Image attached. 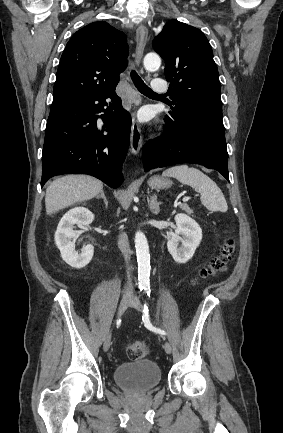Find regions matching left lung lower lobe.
Segmentation results:
<instances>
[{"mask_svg":"<svg viewBox=\"0 0 283 433\" xmlns=\"http://www.w3.org/2000/svg\"><path fill=\"white\" fill-rule=\"evenodd\" d=\"M168 131L143 147V164L153 168L181 163L202 164L220 172L228 181L225 131L211 124L178 122L166 117Z\"/></svg>","mask_w":283,"mask_h":433,"instance_id":"left-lung-lower-lobe-1","label":"left lung lower lobe"}]
</instances>
